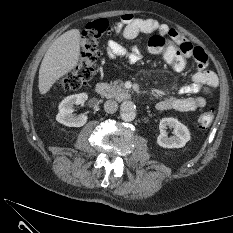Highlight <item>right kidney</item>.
Segmentation results:
<instances>
[{
	"instance_id": "1",
	"label": "right kidney",
	"mask_w": 233,
	"mask_h": 233,
	"mask_svg": "<svg viewBox=\"0 0 233 233\" xmlns=\"http://www.w3.org/2000/svg\"><path fill=\"white\" fill-rule=\"evenodd\" d=\"M88 99V95L86 93L75 94L66 97L59 104V112L56 116V120L68 127H81L87 122V116L85 114H81L79 116H75L73 114L74 109L73 106L83 104Z\"/></svg>"
}]
</instances>
